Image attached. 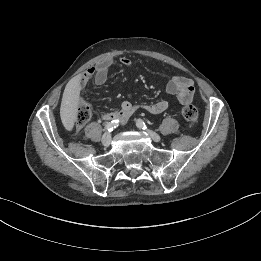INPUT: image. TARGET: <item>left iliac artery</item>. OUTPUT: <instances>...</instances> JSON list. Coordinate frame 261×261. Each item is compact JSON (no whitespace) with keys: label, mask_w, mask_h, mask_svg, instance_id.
<instances>
[{"label":"left iliac artery","mask_w":261,"mask_h":261,"mask_svg":"<svg viewBox=\"0 0 261 261\" xmlns=\"http://www.w3.org/2000/svg\"><path fill=\"white\" fill-rule=\"evenodd\" d=\"M136 125L139 128L147 129V126H146L145 122L142 119H137Z\"/></svg>","instance_id":"left-iliac-artery-1"}]
</instances>
